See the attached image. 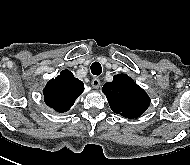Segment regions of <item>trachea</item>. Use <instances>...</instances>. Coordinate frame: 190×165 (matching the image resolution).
<instances>
[{
    "mask_svg": "<svg viewBox=\"0 0 190 165\" xmlns=\"http://www.w3.org/2000/svg\"><path fill=\"white\" fill-rule=\"evenodd\" d=\"M91 72H92V74L95 75V76L100 75L101 72H102L101 64L98 63V62H94V63L91 65Z\"/></svg>",
    "mask_w": 190,
    "mask_h": 165,
    "instance_id": "obj_1",
    "label": "trachea"
}]
</instances>
